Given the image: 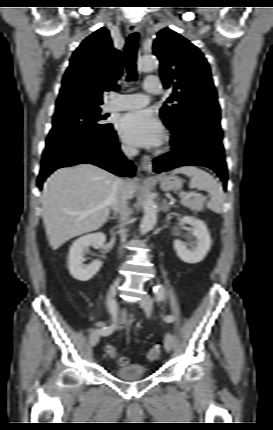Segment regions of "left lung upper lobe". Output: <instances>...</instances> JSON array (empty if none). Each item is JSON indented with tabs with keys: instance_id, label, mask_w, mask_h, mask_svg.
Returning a JSON list of instances; mask_svg holds the SVG:
<instances>
[{
	"instance_id": "left-lung-upper-lobe-1",
	"label": "left lung upper lobe",
	"mask_w": 273,
	"mask_h": 430,
	"mask_svg": "<svg viewBox=\"0 0 273 430\" xmlns=\"http://www.w3.org/2000/svg\"><path fill=\"white\" fill-rule=\"evenodd\" d=\"M153 53L160 60L165 88L173 90L160 110L164 123L173 131L190 126L200 116L220 120L217 93L207 60L187 39L169 28L158 32Z\"/></svg>"
}]
</instances>
